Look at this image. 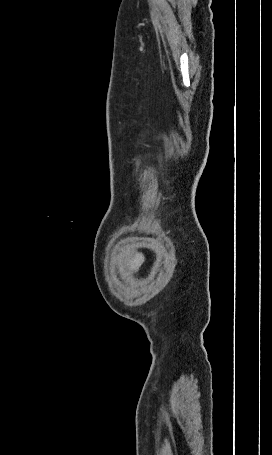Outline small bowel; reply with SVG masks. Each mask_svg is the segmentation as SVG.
<instances>
[{
  "instance_id": "1",
  "label": "small bowel",
  "mask_w": 272,
  "mask_h": 455,
  "mask_svg": "<svg viewBox=\"0 0 272 455\" xmlns=\"http://www.w3.org/2000/svg\"><path fill=\"white\" fill-rule=\"evenodd\" d=\"M145 256L143 253H137L132 257V259L127 263L125 267V273L127 275H131L137 271V269L141 266L144 262Z\"/></svg>"
}]
</instances>
